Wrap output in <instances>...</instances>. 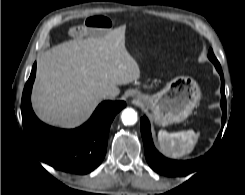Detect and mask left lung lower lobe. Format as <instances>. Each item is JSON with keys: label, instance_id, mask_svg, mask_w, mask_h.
Wrapping results in <instances>:
<instances>
[{"label": "left lung lower lobe", "instance_id": "obj_1", "mask_svg": "<svg viewBox=\"0 0 245 195\" xmlns=\"http://www.w3.org/2000/svg\"><path fill=\"white\" fill-rule=\"evenodd\" d=\"M215 67L221 77V108L223 111L222 124L224 125L226 120V97H225L224 77H223L221 66L215 65ZM141 134L144 142L146 160L150 165V167L159 174L165 176L188 175L196 170L197 165L203 159V157H200L194 160L176 161L164 157L154 147L151 138L150 124L147 117L145 116L141 118Z\"/></svg>", "mask_w": 245, "mask_h": 195}]
</instances>
